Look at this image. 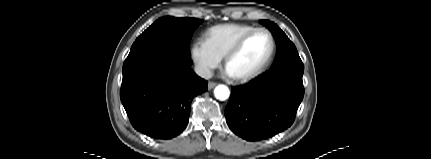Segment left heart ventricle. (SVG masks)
<instances>
[{"label":"left heart ventricle","mask_w":431,"mask_h":159,"mask_svg":"<svg viewBox=\"0 0 431 159\" xmlns=\"http://www.w3.org/2000/svg\"><path fill=\"white\" fill-rule=\"evenodd\" d=\"M271 47V39L267 34H255L247 41L242 51L230 61L227 70L234 77L256 71L267 60Z\"/></svg>","instance_id":"obj_1"}]
</instances>
